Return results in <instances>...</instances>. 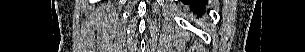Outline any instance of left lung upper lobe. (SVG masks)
Here are the masks:
<instances>
[{"label": "left lung upper lobe", "mask_w": 305, "mask_h": 52, "mask_svg": "<svg viewBox=\"0 0 305 52\" xmlns=\"http://www.w3.org/2000/svg\"><path fill=\"white\" fill-rule=\"evenodd\" d=\"M190 10H192L194 13H197V14H200V13H201V11L198 10V9H192V8H190Z\"/></svg>", "instance_id": "5c2ea615"}]
</instances>
